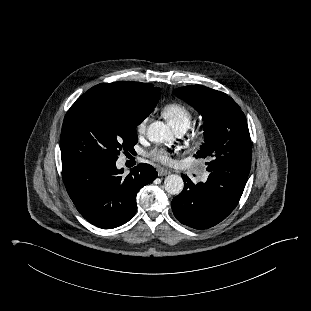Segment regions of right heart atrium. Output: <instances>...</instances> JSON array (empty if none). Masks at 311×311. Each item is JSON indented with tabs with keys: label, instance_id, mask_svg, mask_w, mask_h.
I'll return each mask as SVG.
<instances>
[{
	"label": "right heart atrium",
	"instance_id": "right-heart-atrium-1",
	"mask_svg": "<svg viewBox=\"0 0 311 311\" xmlns=\"http://www.w3.org/2000/svg\"><path fill=\"white\" fill-rule=\"evenodd\" d=\"M147 118L141 119L136 125V130L138 134H143L146 131Z\"/></svg>",
	"mask_w": 311,
	"mask_h": 311
}]
</instances>
